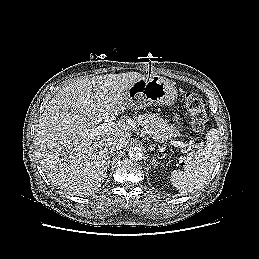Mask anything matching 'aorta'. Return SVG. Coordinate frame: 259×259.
Instances as JSON below:
<instances>
[{
    "label": "aorta",
    "mask_w": 259,
    "mask_h": 259,
    "mask_svg": "<svg viewBox=\"0 0 259 259\" xmlns=\"http://www.w3.org/2000/svg\"><path fill=\"white\" fill-rule=\"evenodd\" d=\"M128 156L134 161H139L143 158V150L140 147H131L128 151Z\"/></svg>",
    "instance_id": "aorta-1"
}]
</instances>
